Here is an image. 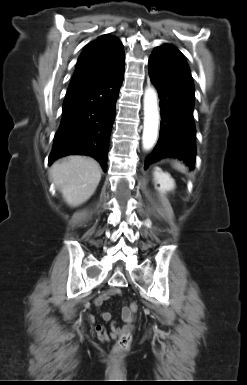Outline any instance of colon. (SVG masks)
<instances>
[{
	"mask_svg": "<svg viewBox=\"0 0 247 385\" xmlns=\"http://www.w3.org/2000/svg\"><path fill=\"white\" fill-rule=\"evenodd\" d=\"M127 309L129 312L128 321L130 322L133 319V317L136 315V313L138 312L139 307H138V304L131 303ZM131 340H132L131 333L127 330H124L120 334L119 339L113 348V352L115 354H119V353L125 351L130 346Z\"/></svg>",
	"mask_w": 247,
	"mask_h": 385,
	"instance_id": "1",
	"label": "colon"
}]
</instances>
